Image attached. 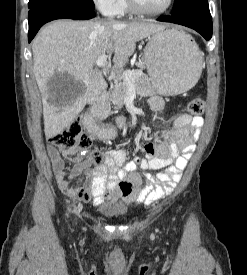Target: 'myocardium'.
I'll list each match as a JSON object with an SVG mask.
<instances>
[{
    "instance_id": "obj_1",
    "label": "myocardium",
    "mask_w": 247,
    "mask_h": 275,
    "mask_svg": "<svg viewBox=\"0 0 247 275\" xmlns=\"http://www.w3.org/2000/svg\"><path fill=\"white\" fill-rule=\"evenodd\" d=\"M127 3L129 9L135 14L145 16H156L167 12L172 7L174 0H168L166 6L159 10H148L141 5L139 0H127Z\"/></svg>"
}]
</instances>
